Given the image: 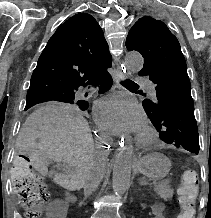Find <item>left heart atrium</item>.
<instances>
[{
  "instance_id": "39dd6f15",
  "label": "left heart atrium",
  "mask_w": 211,
  "mask_h": 218,
  "mask_svg": "<svg viewBox=\"0 0 211 218\" xmlns=\"http://www.w3.org/2000/svg\"><path fill=\"white\" fill-rule=\"evenodd\" d=\"M95 121L102 133L119 135L139 132L144 124L141 108L124 95H112L97 102Z\"/></svg>"
}]
</instances>
